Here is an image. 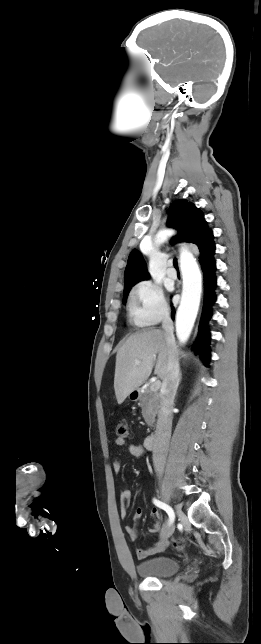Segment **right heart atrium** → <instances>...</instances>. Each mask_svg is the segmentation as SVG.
Returning <instances> with one entry per match:
<instances>
[{
  "mask_svg": "<svg viewBox=\"0 0 261 644\" xmlns=\"http://www.w3.org/2000/svg\"><path fill=\"white\" fill-rule=\"evenodd\" d=\"M130 303L131 316L140 326L157 324L169 314L161 287L151 280H143L133 288Z\"/></svg>",
  "mask_w": 261,
  "mask_h": 644,
  "instance_id": "obj_1",
  "label": "right heart atrium"
}]
</instances>
